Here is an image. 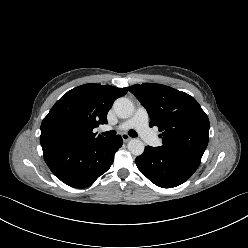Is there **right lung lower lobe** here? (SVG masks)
<instances>
[{"label": "right lung lower lobe", "instance_id": "right-lung-lower-lobe-1", "mask_svg": "<svg viewBox=\"0 0 248 248\" xmlns=\"http://www.w3.org/2000/svg\"><path fill=\"white\" fill-rule=\"evenodd\" d=\"M120 135L77 145L57 144L42 147L44 159L52 173L63 183L82 188L104 174L122 146Z\"/></svg>", "mask_w": 248, "mask_h": 248}]
</instances>
